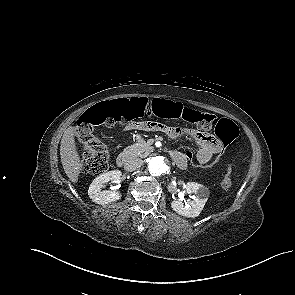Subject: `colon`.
Returning a JSON list of instances; mask_svg holds the SVG:
<instances>
[{
    "label": "colon",
    "instance_id": "1",
    "mask_svg": "<svg viewBox=\"0 0 295 295\" xmlns=\"http://www.w3.org/2000/svg\"><path fill=\"white\" fill-rule=\"evenodd\" d=\"M145 114L160 118L182 119L201 130L214 128L216 136L222 141V147L209 162L205 164L198 162L189 148L184 150L188 162L197 170L211 169L216 165L228 152L229 143L239 134L238 127L231 120L224 118L216 121L215 116L209 113L184 107L177 102L164 99L149 101L143 98L106 102L88 109L76 121L75 134L85 147L81 157L83 171L96 176L104 173L108 168L109 152L106 145L95 136V126L113 127L116 124H129ZM155 125L160 130H165V126L161 124ZM231 184L232 170L228 168L221 181V187L226 190Z\"/></svg>",
    "mask_w": 295,
    "mask_h": 295
}]
</instances>
